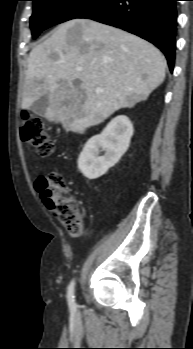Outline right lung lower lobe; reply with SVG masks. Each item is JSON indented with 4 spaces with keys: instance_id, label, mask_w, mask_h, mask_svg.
<instances>
[{
    "instance_id": "right-lung-lower-lobe-1",
    "label": "right lung lower lobe",
    "mask_w": 193,
    "mask_h": 349,
    "mask_svg": "<svg viewBox=\"0 0 193 349\" xmlns=\"http://www.w3.org/2000/svg\"><path fill=\"white\" fill-rule=\"evenodd\" d=\"M178 0H98L77 18L124 29L156 45L173 71Z\"/></svg>"
}]
</instances>
